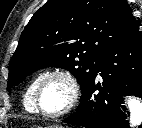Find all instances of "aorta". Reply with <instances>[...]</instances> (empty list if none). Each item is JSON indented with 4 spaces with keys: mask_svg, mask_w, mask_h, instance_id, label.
Listing matches in <instances>:
<instances>
[{
    "mask_svg": "<svg viewBox=\"0 0 142 128\" xmlns=\"http://www.w3.org/2000/svg\"><path fill=\"white\" fill-rule=\"evenodd\" d=\"M130 111V125L139 126L142 123V102L136 98H130L127 102Z\"/></svg>",
    "mask_w": 142,
    "mask_h": 128,
    "instance_id": "762f6f07",
    "label": "aorta"
}]
</instances>
